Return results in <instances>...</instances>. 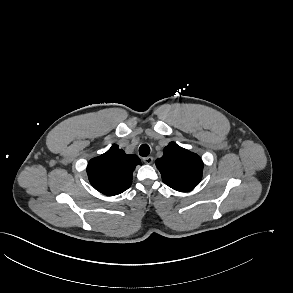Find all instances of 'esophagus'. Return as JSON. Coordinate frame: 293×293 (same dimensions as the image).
Returning a JSON list of instances; mask_svg holds the SVG:
<instances>
[{
    "mask_svg": "<svg viewBox=\"0 0 293 293\" xmlns=\"http://www.w3.org/2000/svg\"><path fill=\"white\" fill-rule=\"evenodd\" d=\"M143 161H144V163H146V164H152V162H153V157H151V156L145 157V158H143Z\"/></svg>",
    "mask_w": 293,
    "mask_h": 293,
    "instance_id": "34e87169",
    "label": "esophagus"
}]
</instances>
